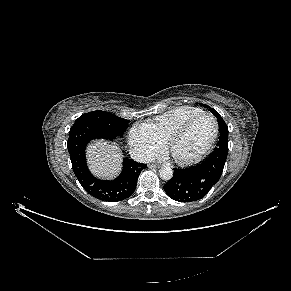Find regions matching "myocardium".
<instances>
[{
	"mask_svg": "<svg viewBox=\"0 0 291 291\" xmlns=\"http://www.w3.org/2000/svg\"><path fill=\"white\" fill-rule=\"evenodd\" d=\"M202 117H209L213 120V123H214V132H213L212 138L209 141V143L207 144V146L200 153H198L197 155H195L191 158H178L175 155H173L171 152L173 144L187 131V129L196 120H198L199 118H202ZM218 133H219V125H218V121L215 118V116L210 114V113H207V112H202L200 114H197V115L189 118L182 125H180L175 131H173L167 137V139L164 141V149L172 157L174 162H176L177 164H179L181 166L191 165V164H194V163L202 160L211 151V149L213 148V146L217 140Z\"/></svg>",
	"mask_w": 291,
	"mask_h": 291,
	"instance_id": "1",
	"label": "myocardium"
}]
</instances>
